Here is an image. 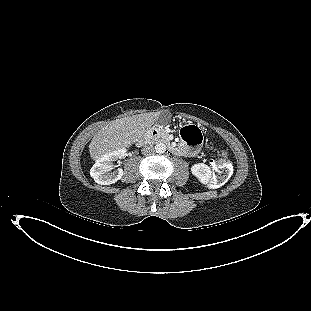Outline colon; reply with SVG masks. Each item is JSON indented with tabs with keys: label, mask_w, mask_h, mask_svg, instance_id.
I'll list each match as a JSON object with an SVG mask.
<instances>
[{
	"label": "colon",
	"mask_w": 311,
	"mask_h": 311,
	"mask_svg": "<svg viewBox=\"0 0 311 311\" xmlns=\"http://www.w3.org/2000/svg\"><path fill=\"white\" fill-rule=\"evenodd\" d=\"M182 136L192 145L199 144L201 141L200 133L195 132L191 126L183 127ZM211 166L213 170L212 184L222 185L230 178L233 167L227 152L221 151L218 157L211 161Z\"/></svg>",
	"instance_id": "1"
}]
</instances>
